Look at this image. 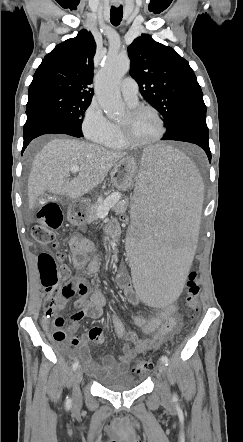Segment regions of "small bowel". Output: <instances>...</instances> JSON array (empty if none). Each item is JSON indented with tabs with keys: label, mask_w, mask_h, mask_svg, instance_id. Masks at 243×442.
<instances>
[{
	"label": "small bowel",
	"mask_w": 243,
	"mask_h": 442,
	"mask_svg": "<svg viewBox=\"0 0 243 442\" xmlns=\"http://www.w3.org/2000/svg\"><path fill=\"white\" fill-rule=\"evenodd\" d=\"M107 232L114 234L116 226L114 224L108 225ZM69 246L72 254V264L76 270L85 269L89 274H95L99 271L101 258L96 252L95 244L92 240L75 235L71 238ZM116 282L118 287L124 291L131 304L136 305L139 303L140 297L134 296L131 279L127 273H119ZM68 286L77 289L79 293V298L75 302V307L78 310L71 315L67 328L72 334L70 342L76 347L75 355L85 360L86 370L96 377L110 372L127 371L133 357L148 351L157 350L179 330L176 308L173 305L164 307L158 315L150 319L142 317H135L133 319L134 325L140 328L141 332L146 336L144 339L138 338L134 332L126 331L122 322L115 318L113 323L116 336L125 341L122 354L118 358L106 355L98 361H93L89 350V342L97 345L104 342L101 327L97 325L92 326L88 333L82 337L74 333L82 319L100 318L107 307V301L99 290L90 289L88 281L81 276L73 278ZM67 299L52 312L46 311L43 317V326L51 333L54 324V322H51V318L59 313ZM57 342L62 343L63 341Z\"/></svg>",
	"instance_id": "1"
}]
</instances>
